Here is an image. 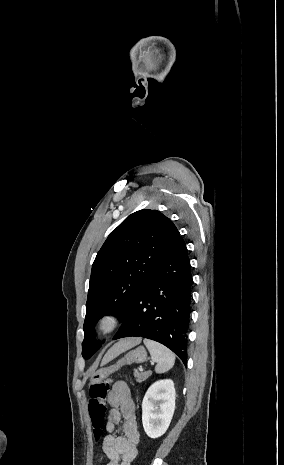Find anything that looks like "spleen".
Here are the masks:
<instances>
[{
    "label": "spleen",
    "instance_id": "obj_1",
    "mask_svg": "<svg viewBox=\"0 0 284 465\" xmlns=\"http://www.w3.org/2000/svg\"><path fill=\"white\" fill-rule=\"evenodd\" d=\"M143 343L146 345L152 361L157 363L155 367L156 373H167L175 363V355L164 345L150 341V339H144Z\"/></svg>",
    "mask_w": 284,
    "mask_h": 465
}]
</instances>
